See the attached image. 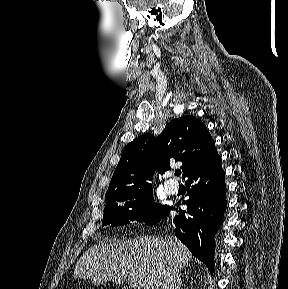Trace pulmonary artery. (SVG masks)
<instances>
[{
  "instance_id": "1",
  "label": "pulmonary artery",
  "mask_w": 288,
  "mask_h": 289,
  "mask_svg": "<svg viewBox=\"0 0 288 289\" xmlns=\"http://www.w3.org/2000/svg\"><path fill=\"white\" fill-rule=\"evenodd\" d=\"M164 188L166 192L170 194H175L179 190V184L175 180H167L164 183Z\"/></svg>"
}]
</instances>
